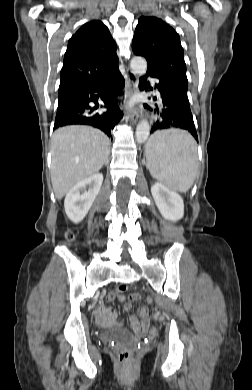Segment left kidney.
Wrapping results in <instances>:
<instances>
[{
  "instance_id": "left-kidney-1",
  "label": "left kidney",
  "mask_w": 252,
  "mask_h": 390,
  "mask_svg": "<svg viewBox=\"0 0 252 390\" xmlns=\"http://www.w3.org/2000/svg\"><path fill=\"white\" fill-rule=\"evenodd\" d=\"M151 193L158 210L165 219L178 221L183 217L184 204L179 194L161 183H155L151 187Z\"/></svg>"
}]
</instances>
